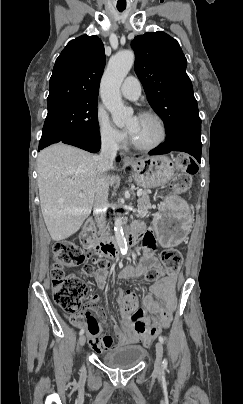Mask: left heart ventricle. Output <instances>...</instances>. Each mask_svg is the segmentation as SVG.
<instances>
[{"instance_id":"b2bd125f","label":"left heart ventricle","mask_w":243,"mask_h":404,"mask_svg":"<svg viewBox=\"0 0 243 404\" xmlns=\"http://www.w3.org/2000/svg\"><path fill=\"white\" fill-rule=\"evenodd\" d=\"M133 118L126 122L127 127L132 123ZM161 136V129L158 121L152 117H138V121L131 137L139 144L149 145L155 143Z\"/></svg>"}]
</instances>
